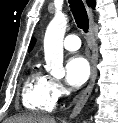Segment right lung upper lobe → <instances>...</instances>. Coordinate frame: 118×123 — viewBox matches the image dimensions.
<instances>
[{"label":"right lung upper lobe","mask_w":118,"mask_h":123,"mask_svg":"<svg viewBox=\"0 0 118 123\" xmlns=\"http://www.w3.org/2000/svg\"><path fill=\"white\" fill-rule=\"evenodd\" d=\"M87 3H88L89 6H91V7H93V8L95 7V0H87ZM34 44H35V40L32 39V41H31V43H30V46H29V51L32 50Z\"/></svg>","instance_id":"1"}]
</instances>
